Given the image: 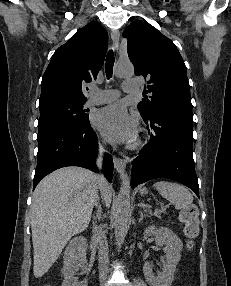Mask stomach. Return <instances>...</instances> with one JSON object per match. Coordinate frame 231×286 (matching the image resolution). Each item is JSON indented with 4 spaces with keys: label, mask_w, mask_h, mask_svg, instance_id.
<instances>
[{
    "label": "stomach",
    "mask_w": 231,
    "mask_h": 286,
    "mask_svg": "<svg viewBox=\"0 0 231 286\" xmlns=\"http://www.w3.org/2000/svg\"><path fill=\"white\" fill-rule=\"evenodd\" d=\"M148 193V190L144 187V188H142V189H140V194L141 195H145V194H147Z\"/></svg>",
    "instance_id": "1"
}]
</instances>
